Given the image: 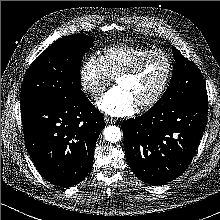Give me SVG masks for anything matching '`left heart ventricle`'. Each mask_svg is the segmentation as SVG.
<instances>
[{
  "mask_svg": "<svg viewBox=\"0 0 220 220\" xmlns=\"http://www.w3.org/2000/svg\"><path fill=\"white\" fill-rule=\"evenodd\" d=\"M167 71L165 60L160 56L149 58L134 77L119 78L117 86L127 90L136 104L149 100L161 86Z\"/></svg>",
  "mask_w": 220,
  "mask_h": 220,
  "instance_id": "left-heart-ventricle-1",
  "label": "left heart ventricle"
}]
</instances>
